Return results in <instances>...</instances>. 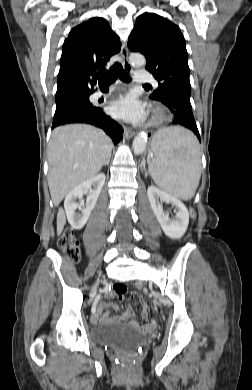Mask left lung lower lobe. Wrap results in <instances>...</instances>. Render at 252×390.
<instances>
[{
	"label": "left lung lower lobe",
	"instance_id": "0a47b994",
	"mask_svg": "<svg viewBox=\"0 0 252 390\" xmlns=\"http://www.w3.org/2000/svg\"><path fill=\"white\" fill-rule=\"evenodd\" d=\"M174 115L171 125H181L192 130L201 142L199 131L193 116L190 96L179 93H169L161 101Z\"/></svg>",
	"mask_w": 252,
	"mask_h": 390
}]
</instances>
